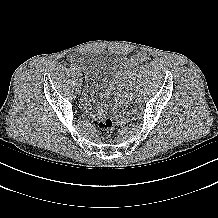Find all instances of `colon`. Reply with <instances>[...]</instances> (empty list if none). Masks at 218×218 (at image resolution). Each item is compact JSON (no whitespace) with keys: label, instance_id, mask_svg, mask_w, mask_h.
<instances>
[{"label":"colon","instance_id":"5ec220e1","mask_svg":"<svg viewBox=\"0 0 218 218\" xmlns=\"http://www.w3.org/2000/svg\"><path fill=\"white\" fill-rule=\"evenodd\" d=\"M97 128L101 139L106 140L111 137L114 124L109 114L103 113L100 115Z\"/></svg>","mask_w":218,"mask_h":218}]
</instances>
